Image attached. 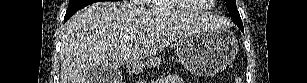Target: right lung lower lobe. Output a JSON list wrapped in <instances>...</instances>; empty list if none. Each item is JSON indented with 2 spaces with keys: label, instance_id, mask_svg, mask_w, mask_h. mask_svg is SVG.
I'll return each instance as SVG.
<instances>
[{
  "label": "right lung lower lobe",
  "instance_id": "right-lung-lower-lobe-1",
  "mask_svg": "<svg viewBox=\"0 0 307 83\" xmlns=\"http://www.w3.org/2000/svg\"><path fill=\"white\" fill-rule=\"evenodd\" d=\"M71 16H65L64 22L67 21Z\"/></svg>",
  "mask_w": 307,
  "mask_h": 83
}]
</instances>
